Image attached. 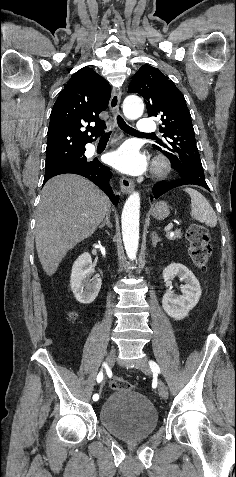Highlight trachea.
Returning a JSON list of instances; mask_svg holds the SVG:
<instances>
[{"mask_svg":"<svg viewBox=\"0 0 236 477\" xmlns=\"http://www.w3.org/2000/svg\"><path fill=\"white\" fill-rule=\"evenodd\" d=\"M117 123H118L119 127L126 133L139 134V135L144 134V133H139L137 130H135L134 128L127 125L126 122L123 120V118L121 116H117ZM110 134H111V131L105 133L102 136V138H109Z\"/></svg>","mask_w":236,"mask_h":477,"instance_id":"3493384b","label":"trachea"}]
</instances>
